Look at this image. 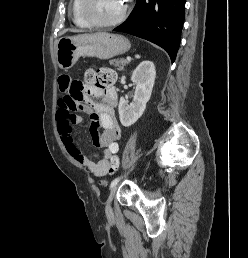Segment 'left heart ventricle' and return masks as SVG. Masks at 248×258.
<instances>
[{
    "mask_svg": "<svg viewBox=\"0 0 248 258\" xmlns=\"http://www.w3.org/2000/svg\"><path fill=\"white\" fill-rule=\"evenodd\" d=\"M123 5L124 0H88L86 8L92 19L106 22L115 19Z\"/></svg>",
    "mask_w": 248,
    "mask_h": 258,
    "instance_id": "1",
    "label": "left heart ventricle"
}]
</instances>
